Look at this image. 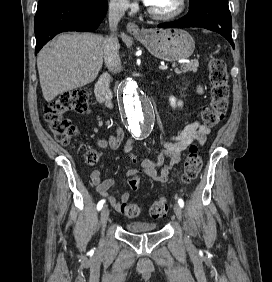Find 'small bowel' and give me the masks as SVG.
I'll list each match as a JSON object with an SVG mask.
<instances>
[{"mask_svg": "<svg viewBox=\"0 0 272 282\" xmlns=\"http://www.w3.org/2000/svg\"><path fill=\"white\" fill-rule=\"evenodd\" d=\"M202 90V87H199ZM210 128L206 125H201L199 122L194 121L186 125L181 131L169 136L167 139L161 141V150L156 158L152 161L144 159L140 162V170H131L129 175H137L141 172L160 183H166L169 180L170 173L175 164L181 160V153L194 142L200 144L205 143L206 136L209 134ZM124 139V131L120 128L114 134H108L98 139L100 147L108 150H116L121 146ZM135 142L129 140L126 142L123 153L126 154L133 163H138V159L134 154ZM166 157L170 158V163L165 164ZM162 166L160 174L157 173L156 168ZM89 179L95 186L96 191L112 205L113 208L120 211L123 204L128 203L130 199L129 193L125 192L121 195L120 201L116 200L113 196L109 195L111 187L116 183L115 178H108L103 180L101 178L100 170H94ZM137 190L139 186L131 187Z\"/></svg>", "mask_w": 272, "mask_h": 282, "instance_id": "1", "label": "small bowel"}]
</instances>
